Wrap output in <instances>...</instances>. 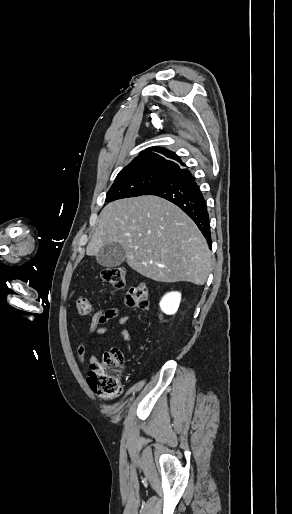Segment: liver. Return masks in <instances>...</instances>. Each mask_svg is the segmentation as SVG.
Masks as SVG:
<instances>
[{
    "mask_svg": "<svg viewBox=\"0 0 292 514\" xmlns=\"http://www.w3.org/2000/svg\"><path fill=\"white\" fill-rule=\"evenodd\" d=\"M118 242L127 264L156 282L205 284L212 254L200 230L178 206L158 196L116 200L103 208L87 256Z\"/></svg>",
    "mask_w": 292,
    "mask_h": 514,
    "instance_id": "liver-1",
    "label": "liver"
}]
</instances>
